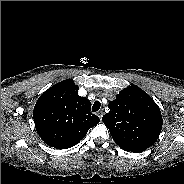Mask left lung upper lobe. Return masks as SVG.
<instances>
[{
  "mask_svg": "<svg viewBox=\"0 0 184 184\" xmlns=\"http://www.w3.org/2000/svg\"><path fill=\"white\" fill-rule=\"evenodd\" d=\"M108 107L110 111L102 117V121L120 148L141 152L158 139L163 123L161 111L138 86L123 89Z\"/></svg>",
  "mask_w": 184,
  "mask_h": 184,
  "instance_id": "1",
  "label": "left lung upper lobe"
}]
</instances>
